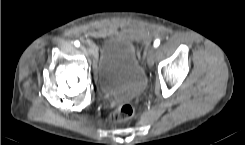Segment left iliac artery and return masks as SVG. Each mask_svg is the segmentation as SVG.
Wrapping results in <instances>:
<instances>
[{"instance_id":"left-iliac-artery-1","label":"left iliac artery","mask_w":245,"mask_h":145,"mask_svg":"<svg viewBox=\"0 0 245 145\" xmlns=\"http://www.w3.org/2000/svg\"><path fill=\"white\" fill-rule=\"evenodd\" d=\"M160 45V40L159 39H156L154 41V47H158Z\"/></svg>"}]
</instances>
